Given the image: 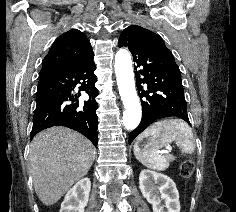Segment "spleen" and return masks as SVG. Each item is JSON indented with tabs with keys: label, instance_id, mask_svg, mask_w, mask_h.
Segmentation results:
<instances>
[{
	"label": "spleen",
	"instance_id": "1",
	"mask_svg": "<svg viewBox=\"0 0 236 212\" xmlns=\"http://www.w3.org/2000/svg\"><path fill=\"white\" fill-rule=\"evenodd\" d=\"M151 136L142 149L139 142ZM175 142L182 153L192 154L195 150V138L191 127L181 119H162L148 126L137 138L134 155L144 166L157 171L169 167L170 156L162 154L163 147L169 148Z\"/></svg>",
	"mask_w": 236,
	"mask_h": 212
}]
</instances>
